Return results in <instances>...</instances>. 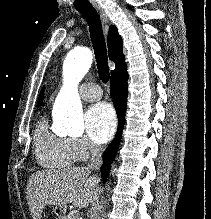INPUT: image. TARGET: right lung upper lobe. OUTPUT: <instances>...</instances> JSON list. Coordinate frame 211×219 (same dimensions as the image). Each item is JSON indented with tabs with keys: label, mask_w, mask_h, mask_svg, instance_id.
Returning <instances> with one entry per match:
<instances>
[{
	"label": "right lung upper lobe",
	"mask_w": 211,
	"mask_h": 219,
	"mask_svg": "<svg viewBox=\"0 0 211 219\" xmlns=\"http://www.w3.org/2000/svg\"><path fill=\"white\" fill-rule=\"evenodd\" d=\"M123 44L122 38L118 34L117 28L114 25L109 27L108 33V54L110 60L115 62V69L111 71V75L119 71L120 69L126 67L125 56L122 53ZM44 95V89L41 90V94L38 101V106L41 105Z\"/></svg>",
	"instance_id": "right-lung-upper-lobe-1"
}]
</instances>
